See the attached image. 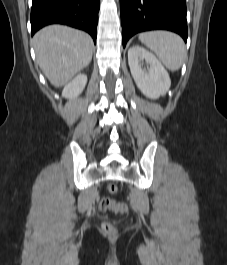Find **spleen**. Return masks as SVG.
I'll return each mask as SVG.
<instances>
[{"label": "spleen", "instance_id": "3e777b00", "mask_svg": "<svg viewBox=\"0 0 227 265\" xmlns=\"http://www.w3.org/2000/svg\"><path fill=\"white\" fill-rule=\"evenodd\" d=\"M139 40L157 57L166 68L177 71L186 57V48L182 38L169 31H150L139 34Z\"/></svg>", "mask_w": 227, "mask_h": 265}]
</instances>
